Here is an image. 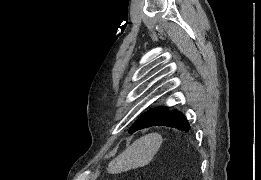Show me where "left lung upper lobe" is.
<instances>
[{"instance_id":"5c2ea615","label":"left lung upper lobe","mask_w":261,"mask_h":180,"mask_svg":"<svg viewBox=\"0 0 261 180\" xmlns=\"http://www.w3.org/2000/svg\"><path fill=\"white\" fill-rule=\"evenodd\" d=\"M166 110V107L149 110L135 121V123L130 127L129 132L132 134L137 130L150 127Z\"/></svg>"}]
</instances>
